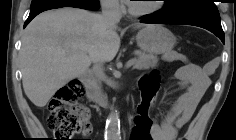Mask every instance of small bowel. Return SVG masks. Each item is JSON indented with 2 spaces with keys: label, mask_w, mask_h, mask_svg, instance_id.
<instances>
[{
  "label": "small bowel",
  "mask_w": 236,
  "mask_h": 140,
  "mask_svg": "<svg viewBox=\"0 0 236 140\" xmlns=\"http://www.w3.org/2000/svg\"><path fill=\"white\" fill-rule=\"evenodd\" d=\"M177 58L184 63L177 70L176 78L185 92L174 102L160 123H153L152 140H175L179 131L191 120L200 100L211 84L210 75L214 70L212 63L200 67L191 63L182 54H178ZM92 130L91 124L86 120L82 136L88 138Z\"/></svg>",
  "instance_id": "1"
}]
</instances>
